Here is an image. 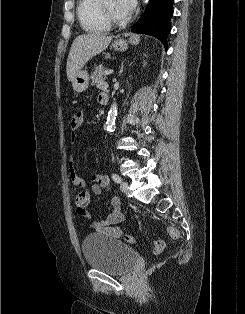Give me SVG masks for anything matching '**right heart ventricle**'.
I'll use <instances>...</instances> for the list:
<instances>
[{"instance_id":"right-heart-ventricle-1","label":"right heart ventricle","mask_w":245,"mask_h":314,"mask_svg":"<svg viewBox=\"0 0 245 314\" xmlns=\"http://www.w3.org/2000/svg\"><path fill=\"white\" fill-rule=\"evenodd\" d=\"M97 4L98 0H79L77 4L79 22L89 33H103L109 29L98 14Z\"/></svg>"}]
</instances>
